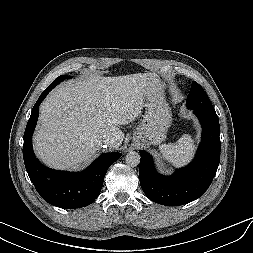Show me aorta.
<instances>
[{
	"label": "aorta",
	"mask_w": 253,
	"mask_h": 253,
	"mask_svg": "<svg viewBox=\"0 0 253 253\" xmlns=\"http://www.w3.org/2000/svg\"><path fill=\"white\" fill-rule=\"evenodd\" d=\"M125 161L128 166L136 167L140 163V154L135 151H130L127 153L125 157Z\"/></svg>",
	"instance_id": "762f6f07"
}]
</instances>
